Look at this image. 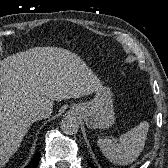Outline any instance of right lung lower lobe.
<instances>
[{
    "mask_svg": "<svg viewBox=\"0 0 168 168\" xmlns=\"http://www.w3.org/2000/svg\"><path fill=\"white\" fill-rule=\"evenodd\" d=\"M39 160H40V153L37 152L34 158L32 159L31 163L26 168H37Z\"/></svg>",
    "mask_w": 168,
    "mask_h": 168,
    "instance_id": "obj_1",
    "label": "right lung lower lobe"
}]
</instances>
